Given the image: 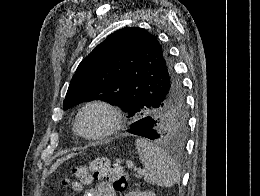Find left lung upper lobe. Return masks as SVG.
I'll use <instances>...</instances> for the list:
<instances>
[{"mask_svg": "<svg viewBox=\"0 0 260 196\" xmlns=\"http://www.w3.org/2000/svg\"><path fill=\"white\" fill-rule=\"evenodd\" d=\"M102 100L133 121H154L157 140L183 148L188 116L182 84L167 49L156 36L130 27L110 34L78 66L63 102L69 109Z\"/></svg>", "mask_w": 260, "mask_h": 196, "instance_id": "left-lung-upper-lobe-1", "label": "left lung upper lobe"}]
</instances>
